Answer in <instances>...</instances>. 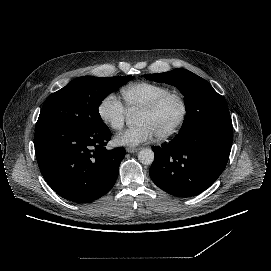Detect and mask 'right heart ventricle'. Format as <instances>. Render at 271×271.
<instances>
[{
	"label": "right heart ventricle",
	"mask_w": 271,
	"mask_h": 271,
	"mask_svg": "<svg viewBox=\"0 0 271 271\" xmlns=\"http://www.w3.org/2000/svg\"><path fill=\"white\" fill-rule=\"evenodd\" d=\"M168 91L170 88L166 85L145 81L128 84L121 89L126 108L130 113L139 112Z\"/></svg>",
	"instance_id": "1"
}]
</instances>
